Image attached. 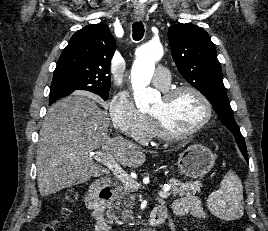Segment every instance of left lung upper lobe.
<instances>
[{"label":"left lung upper lobe","instance_id":"1","mask_svg":"<svg viewBox=\"0 0 268 231\" xmlns=\"http://www.w3.org/2000/svg\"><path fill=\"white\" fill-rule=\"evenodd\" d=\"M168 38L181 75L209 100L220 121L234 135L241 152L246 151L226 95L216 49L208 33L196 25L179 23L169 27Z\"/></svg>","mask_w":268,"mask_h":231}]
</instances>
